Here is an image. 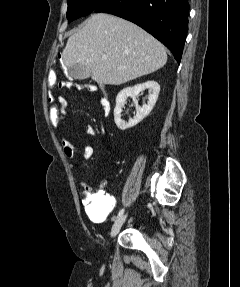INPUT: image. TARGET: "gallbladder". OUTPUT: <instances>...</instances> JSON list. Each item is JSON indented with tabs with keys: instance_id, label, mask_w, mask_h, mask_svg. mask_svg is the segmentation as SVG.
Returning <instances> with one entry per match:
<instances>
[{
	"instance_id": "gallbladder-1",
	"label": "gallbladder",
	"mask_w": 240,
	"mask_h": 287,
	"mask_svg": "<svg viewBox=\"0 0 240 287\" xmlns=\"http://www.w3.org/2000/svg\"><path fill=\"white\" fill-rule=\"evenodd\" d=\"M66 75L72 79L84 80L91 76V71L86 65L78 63L69 67L66 71Z\"/></svg>"
}]
</instances>
